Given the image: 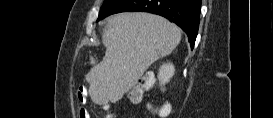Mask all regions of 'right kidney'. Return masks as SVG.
<instances>
[{
  "label": "right kidney",
  "mask_w": 273,
  "mask_h": 118,
  "mask_svg": "<svg viewBox=\"0 0 273 118\" xmlns=\"http://www.w3.org/2000/svg\"><path fill=\"white\" fill-rule=\"evenodd\" d=\"M174 71H175V68H174L173 64H171V63L163 64L159 68L158 79H159L161 86L162 85L164 86L166 83H168L170 81V79L174 75Z\"/></svg>",
  "instance_id": "1"
}]
</instances>
